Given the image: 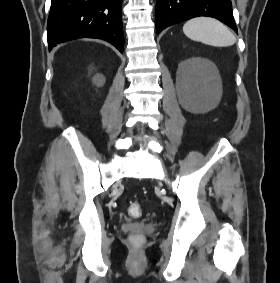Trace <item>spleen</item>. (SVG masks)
<instances>
[{
    "instance_id": "1",
    "label": "spleen",
    "mask_w": 280,
    "mask_h": 283,
    "mask_svg": "<svg viewBox=\"0 0 280 283\" xmlns=\"http://www.w3.org/2000/svg\"><path fill=\"white\" fill-rule=\"evenodd\" d=\"M183 32L194 41L215 47H229L236 42L234 34L223 23L210 17L188 20L183 26Z\"/></svg>"
}]
</instances>
